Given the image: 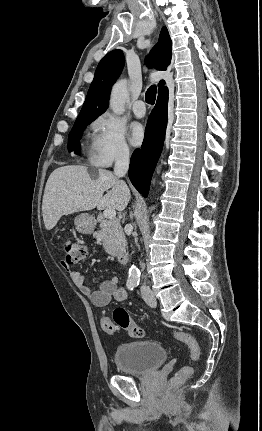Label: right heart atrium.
<instances>
[{"instance_id": "d8ad5b80", "label": "right heart atrium", "mask_w": 262, "mask_h": 431, "mask_svg": "<svg viewBox=\"0 0 262 431\" xmlns=\"http://www.w3.org/2000/svg\"><path fill=\"white\" fill-rule=\"evenodd\" d=\"M90 158L99 166H109L115 160L130 156L122 124L111 114L100 115L92 125Z\"/></svg>"}]
</instances>
